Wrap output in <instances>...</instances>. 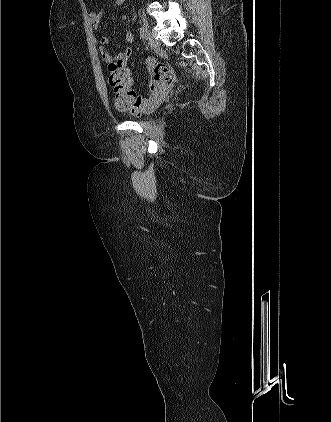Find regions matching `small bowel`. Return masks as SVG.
I'll use <instances>...</instances> for the list:
<instances>
[{
	"instance_id": "obj_1",
	"label": "small bowel",
	"mask_w": 331,
	"mask_h": 422,
	"mask_svg": "<svg viewBox=\"0 0 331 422\" xmlns=\"http://www.w3.org/2000/svg\"><path fill=\"white\" fill-rule=\"evenodd\" d=\"M125 1L126 0H115V5H117V6L122 5ZM102 15H103V12H95V11L90 12L89 15H88L89 21H90L94 31L97 34L99 32V25H100V20H101ZM121 20L123 22H125L127 20V16L122 15ZM124 39H125L126 43L131 44L134 41L133 32L131 30H127L124 34ZM108 42H109V38L107 36H99L98 37L99 52H100V56H101L102 60L106 63H109V64L113 63V62L120 61L124 65H126L128 60L130 59L132 53H133L132 46H127L125 48V50L120 52V53L112 54L106 48V45L108 44Z\"/></svg>"
}]
</instances>
